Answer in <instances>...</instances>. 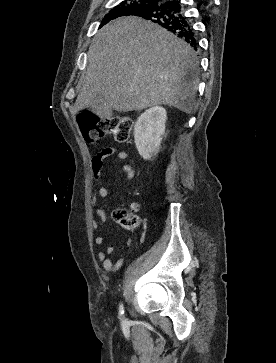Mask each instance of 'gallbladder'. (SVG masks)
I'll list each match as a JSON object with an SVG mask.
<instances>
[{
	"mask_svg": "<svg viewBox=\"0 0 276 363\" xmlns=\"http://www.w3.org/2000/svg\"><path fill=\"white\" fill-rule=\"evenodd\" d=\"M90 110L101 119H108L112 116V109L108 107L106 99L101 94L97 96L90 106Z\"/></svg>",
	"mask_w": 276,
	"mask_h": 363,
	"instance_id": "obj_1",
	"label": "gallbladder"
}]
</instances>
